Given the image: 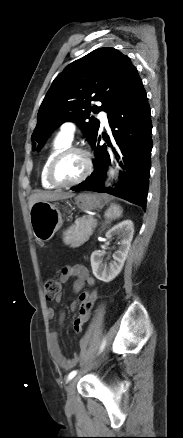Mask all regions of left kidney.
Wrapping results in <instances>:
<instances>
[{"mask_svg":"<svg viewBox=\"0 0 183 438\" xmlns=\"http://www.w3.org/2000/svg\"><path fill=\"white\" fill-rule=\"evenodd\" d=\"M119 235L121 242L119 249L113 256L114 262L106 265L102 262V252L97 250L91 255V267L94 276L103 282L112 281L121 272L124 262L128 256L131 241L134 234V225L131 220H124L110 228L105 236L110 239L113 235Z\"/></svg>","mask_w":183,"mask_h":438,"instance_id":"5707ae66","label":"left kidney"}]
</instances>
